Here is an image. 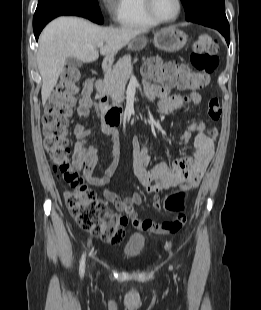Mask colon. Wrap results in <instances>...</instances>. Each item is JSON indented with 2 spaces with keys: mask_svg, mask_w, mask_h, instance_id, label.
Masks as SVG:
<instances>
[{
  "mask_svg": "<svg viewBox=\"0 0 261 310\" xmlns=\"http://www.w3.org/2000/svg\"><path fill=\"white\" fill-rule=\"evenodd\" d=\"M218 48V42L214 37L208 33H202L195 40L190 56L194 72L179 62H162L158 58H151L144 65L143 72L147 77L160 81L167 88L197 90L206 85L208 76L218 66L216 55ZM79 76V71L74 67H67L62 72L58 86L45 109L44 146L58 178L70 187L65 192V202L76 223L83 230L99 236L109 244L116 245L124 239L128 218L122 214H108L105 203L85 185L83 178L70 164L68 128L76 104ZM221 114L222 109L218 98H211L208 101L210 120L218 121ZM200 128L204 131L205 125H201ZM208 134L215 137L217 131L210 128ZM192 188H194L192 183H183L177 192L166 197L163 208L173 213L169 220L160 223L150 221L145 223L144 227L156 234L170 235L178 232L186 223L184 213L186 196Z\"/></svg>",
  "mask_w": 261,
  "mask_h": 310,
  "instance_id": "obj_1",
  "label": "colon"
}]
</instances>
